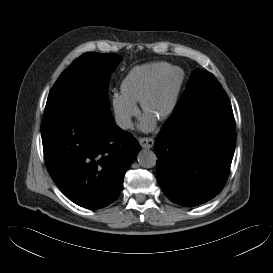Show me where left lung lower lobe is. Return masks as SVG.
<instances>
[{
    "instance_id": "1",
    "label": "left lung lower lobe",
    "mask_w": 273,
    "mask_h": 273,
    "mask_svg": "<svg viewBox=\"0 0 273 273\" xmlns=\"http://www.w3.org/2000/svg\"><path fill=\"white\" fill-rule=\"evenodd\" d=\"M235 129L225 92L196 95L174 109L154 144L157 180L172 202L194 207L221 192L235 151Z\"/></svg>"
}]
</instances>
